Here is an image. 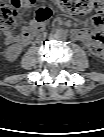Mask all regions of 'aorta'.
Wrapping results in <instances>:
<instances>
[{"label": "aorta", "instance_id": "aorta-1", "mask_svg": "<svg viewBox=\"0 0 104 137\" xmlns=\"http://www.w3.org/2000/svg\"><path fill=\"white\" fill-rule=\"evenodd\" d=\"M56 37H57L58 39H63V38L65 37V32H64L63 30H58V31L56 32Z\"/></svg>", "mask_w": 104, "mask_h": 137}]
</instances>
